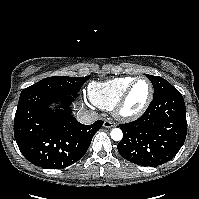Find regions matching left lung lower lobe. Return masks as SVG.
Masks as SVG:
<instances>
[{
  "label": "left lung lower lobe",
  "instance_id": "0a47b994",
  "mask_svg": "<svg viewBox=\"0 0 199 199\" xmlns=\"http://www.w3.org/2000/svg\"><path fill=\"white\" fill-rule=\"evenodd\" d=\"M120 155L143 166H158L171 160L187 133L186 108L180 92L155 98L137 120L121 124Z\"/></svg>",
  "mask_w": 199,
  "mask_h": 199
}]
</instances>
